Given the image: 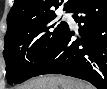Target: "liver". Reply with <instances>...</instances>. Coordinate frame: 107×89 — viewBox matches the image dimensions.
Here are the masks:
<instances>
[{"mask_svg": "<svg viewBox=\"0 0 107 89\" xmlns=\"http://www.w3.org/2000/svg\"><path fill=\"white\" fill-rule=\"evenodd\" d=\"M16 89H94V87L71 77L48 75L32 79Z\"/></svg>", "mask_w": 107, "mask_h": 89, "instance_id": "6515ba94", "label": "liver"}]
</instances>
